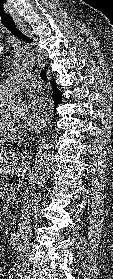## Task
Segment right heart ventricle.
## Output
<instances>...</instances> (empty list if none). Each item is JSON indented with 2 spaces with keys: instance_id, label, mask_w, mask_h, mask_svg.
Segmentation results:
<instances>
[{
  "instance_id": "1",
  "label": "right heart ventricle",
  "mask_w": 113,
  "mask_h": 279,
  "mask_svg": "<svg viewBox=\"0 0 113 279\" xmlns=\"http://www.w3.org/2000/svg\"><path fill=\"white\" fill-rule=\"evenodd\" d=\"M9 96L0 91V147L8 144L12 140L13 133L7 131L2 126V116L5 112L6 104L8 102Z\"/></svg>"
}]
</instances>
